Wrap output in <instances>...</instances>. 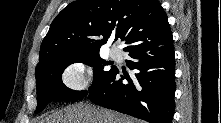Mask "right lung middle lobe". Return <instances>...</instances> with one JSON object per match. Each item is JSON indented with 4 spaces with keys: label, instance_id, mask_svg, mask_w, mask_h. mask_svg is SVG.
Here are the masks:
<instances>
[{
    "label": "right lung middle lobe",
    "instance_id": "dd1d6c3e",
    "mask_svg": "<svg viewBox=\"0 0 221 123\" xmlns=\"http://www.w3.org/2000/svg\"><path fill=\"white\" fill-rule=\"evenodd\" d=\"M75 62H82L93 66L94 81L89 91L101 83L113 70H105L104 62L99 56V51L84 53L79 55L66 56L54 61H50L36 68L35 76L37 81V108L36 113L42 111L52 100H80L84 98L88 91H74L67 88L61 80L64 69Z\"/></svg>",
    "mask_w": 221,
    "mask_h": 123
}]
</instances>
